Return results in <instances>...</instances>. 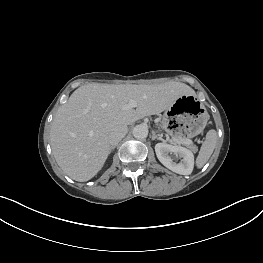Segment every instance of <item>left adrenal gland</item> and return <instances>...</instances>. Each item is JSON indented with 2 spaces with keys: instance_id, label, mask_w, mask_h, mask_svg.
Returning a JSON list of instances; mask_svg holds the SVG:
<instances>
[{
  "instance_id": "a2214340",
  "label": "left adrenal gland",
  "mask_w": 263,
  "mask_h": 263,
  "mask_svg": "<svg viewBox=\"0 0 263 263\" xmlns=\"http://www.w3.org/2000/svg\"><path fill=\"white\" fill-rule=\"evenodd\" d=\"M155 139L162 140V138L159 135H157L155 131H152V140H155Z\"/></svg>"
}]
</instances>
